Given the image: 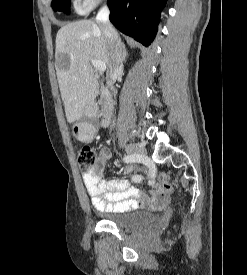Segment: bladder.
Wrapping results in <instances>:
<instances>
[{
    "instance_id": "bladder-1",
    "label": "bladder",
    "mask_w": 247,
    "mask_h": 275,
    "mask_svg": "<svg viewBox=\"0 0 247 275\" xmlns=\"http://www.w3.org/2000/svg\"><path fill=\"white\" fill-rule=\"evenodd\" d=\"M96 212L102 216L103 220L113 223L118 227L151 225L156 220L155 213L141 209L114 212L112 214L99 209H96Z\"/></svg>"
}]
</instances>
